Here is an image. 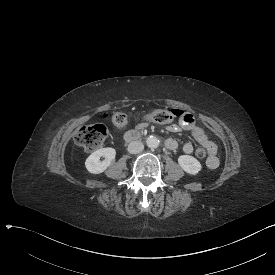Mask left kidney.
<instances>
[{
	"instance_id": "obj_1",
	"label": "left kidney",
	"mask_w": 275,
	"mask_h": 275,
	"mask_svg": "<svg viewBox=\"0 0 275 275\" xmlns=\"http://www.w3.org/2000/svg\"><path fill=\"white\" fill-rule=\"evenodd\" d=\"M178 163L185 172L192 175L197 174L202 168L200 162L193 156L189 155L179 156Z\"/></svg>"
}]
</instances>
